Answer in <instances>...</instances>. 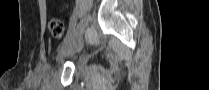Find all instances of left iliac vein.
Masks as SVG:
<instances>
[{"label": "left iliac vein", "instance_id": "1", "mask_svg": "<svg viewBox=\"0 0 209 90\" xmlns=\"http://www.w3.org/2000/svg\"><path fill=\"white\" fill-rule=\"evenodd\" d=\"M82 21H78V24H83ZM76 33L81 32L78 30V27H76ZM75 37L77 38L78 36H74L69 38L68 40L64 41L61 46L59 47L58 55H57V61H61L64 59L67 55H69L74 49L78 47ZM82 47V44H80V48Z\"/></svg>", "mask_w": 209, "mask_h": 90}]
</instances>
